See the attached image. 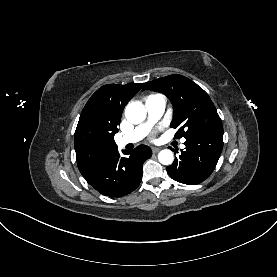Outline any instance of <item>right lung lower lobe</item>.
Masks as SVG:
<instances>
[{"instance_id":"right-lung-lower-lobe-1","label":"right lung lower lobe","mask_w":277,"mask_h":277,"mask_svg":"<svg viewBox=\"0 0 277 277\" xmlns=\"http://www.w3.org/2000/svg\"><path fill=\"white\" fill-rule=\"evenodd\" d=\"M122 152L127 157H122L116 150L83 174L86 181L105 196L120 197L134 191L141 182L143 163L152 155L146 145Z\"/></svg>"}]
</instances>
